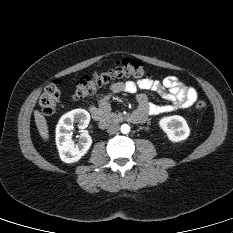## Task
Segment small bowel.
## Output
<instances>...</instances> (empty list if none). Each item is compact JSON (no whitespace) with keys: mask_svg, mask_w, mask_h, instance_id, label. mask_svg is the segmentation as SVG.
<instances>
[{"mask_svg":"<svg viewBox=\"0 0 233 233\" xmlns=\"http://www.w3.org/2000/svg\"><path fill=\"white\" fill-rule=\"evenodd\" d=\"M145 91H153L161 95L168 103L154 104L149 102ZM128 93L135 95L138 111L145 116H155L177 109H187L197 100V91L183 84L175 76H167L162 80L151 78L134 81L115 82L102 92L96 104L89 106V111L95 119L110 111V99L113 94Z\"/></svg>","mask_w":233,"mask_h":233,"instance_id":"obj_1","label":"small bowel"}]
</instances>
